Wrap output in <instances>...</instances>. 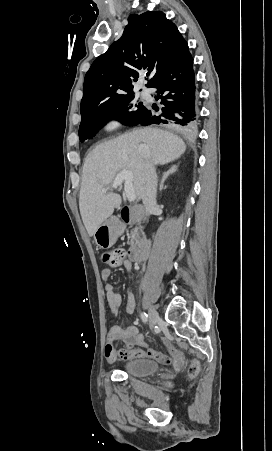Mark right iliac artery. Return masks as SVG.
Segmentation results:
<instances>
[{
  "label": "right iliac artery",
  "mask_w": 272,
  "mask_h": 451,
  "mask_svg": "<svg viewBox=\"0 0 272 451\" xmlns=\"http://www.w3.org/2000/svg\"><path fill=\"white\" fill-rule=\"evenodd\" d=\"M141 319L143 322H147L148 321V315L145 312L141 313Z\"/></svg>",
  "instance_id": "obj_1"
}]
</instances>
